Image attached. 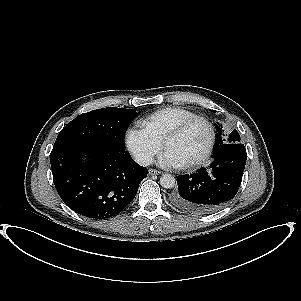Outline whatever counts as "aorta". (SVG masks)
Here are the masks:
<instances>
[{"mask_svg":"<svg viewBox=\"0 0 301 301\" xmlns=\"http://www.w3.org/2000/svg\"><path fill=\"white\" fill-rule=\"evenodd\" d=\"M160 185L163 187V188H166V189H171L173 188L175 185H176V179L173 175L171 174H163L161 177H160Z\"/></svg>","mask_w":301,"mask_h":301,"instance_id":"1","label":"aorta"}]
</instances>
